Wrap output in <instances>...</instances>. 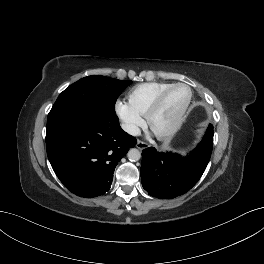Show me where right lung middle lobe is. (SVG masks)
<instances>
[{
  "label": "right lung middle lobe",
  "mask_w": 264,
  "mask_h": 264,
  "mask_svg": "<svg viewBox=\"0 0 264 264\" xmlns=\"http://www.w3.org/2000/svg\"><path fill=\"white\" fill-rule=\"evenodd\" d=\"M132 81L104 76H88L66 88L48 114L47 128L67 115L84 108L115 113V102Z\"/></svg>",
  "instance_id": "right-lung-middle-lobe-1"
}]
</instances>
